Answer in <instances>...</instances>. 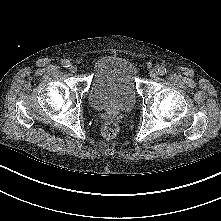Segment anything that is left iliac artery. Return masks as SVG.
<instances>
[{"label": "left iliac artery", "instance_id": "1", "mask_svg": "<svg viewBox=\"0 0 221 221\" xmlns=\"http://www.w3.org/2000/svg\"><path fill=\"white\" fill-rule=\"evenodd\" d=\"M158 73H159V75H162V76L165 75L167 73L166 67H164V66L159 67L158 68Z\"/></svg>", "mask_w": 221, "mask_h": 221}]
</instances>
